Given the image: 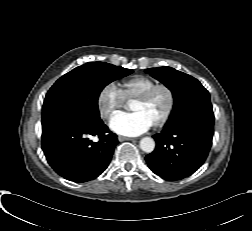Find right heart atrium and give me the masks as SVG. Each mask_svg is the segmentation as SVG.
<instances>
[{
  "instance_id": "right-heart-atrium-1",
  "label": "right heart atrium",
  "mask_w": 252,
  "mask_h": 231,
  "mask_svg": "<svg viewBox=\"0 0 252 231\" xmlns=\"http://www.w3.org/2000/svg\"><path fill=\"white\" fill-rule=\"evenodd\" d=\"M96 102L99 115L103 119H109L123 107L124 98L117 85L110 82L101 88Z\"/></svg>"
}]
</instances>
